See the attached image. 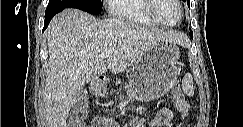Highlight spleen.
<instances>
[{
	"label": "spleen",
	"instance_id": "spleen-1",
	"mask_svg": "<svg viewBox=\"0 0 243 127\" xmlns=\"http://www.w3.org/2000/svg\"><path fill=\"white\" fill-rule=\"evenodd\" d=\"M182 89L184 93H186L188 96L194 95V89H193V78L190 73H187L183 80H182Z\"/></svg>",
	"mask_w": 243,
	"mask_h": 127
}]
</instances>
